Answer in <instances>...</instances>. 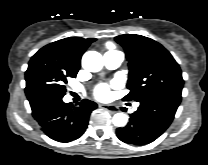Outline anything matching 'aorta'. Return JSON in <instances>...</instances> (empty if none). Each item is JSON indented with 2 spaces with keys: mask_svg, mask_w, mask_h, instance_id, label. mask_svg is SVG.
<instances>
[{
  "mask_svg": "<svg viewBox=\"0 0 208 165\" xmlns=\"http://www.w3.org/2000/svg\"><path fill=\"white\" fill-rule=\"evenodd\" d=\"M103 57L99 52L88 51L82 57V66L89 72H98L103 67ZM113 124L117 127H124L128 122V117L124 113H116L113 116Z\"/></svg>",
  "mask_w": 208,
  "mask_h": 165,
  "instance_id": "obj_1",
  "label": "aorta"
}]
</instances>
